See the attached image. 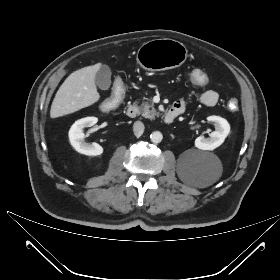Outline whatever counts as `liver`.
Listing matches in <instances>:
<instances>
[{"label": "liver", "instance_id": "6515ba94", "mask_svg": "<svg viewBox=\"0 0 280 280\" xmlns=\"http://www.w3.org/2000/svg\"><path fill=\"white\" fill-rule=\"evenodd\" d=\"M100 67L101 63L87 66L74 71L66 78L52 102L51 118L74 113L99 100L95 75Z\"/></svg>", "mask_w": 280, "mask_h": 280}]
</instances>
